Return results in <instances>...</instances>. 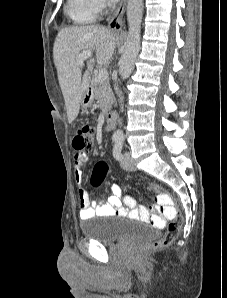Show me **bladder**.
Masks as SVG:
<instances>
[{
    "label": "bladder",
    "instance_id": "bladder-1",
    "mask_svg": "<svg viewBox=\"0 0 227 298\" xmlns=\"http://www.w3.org/2000/svg\"><path fill=\"white\" fill-rule=\"evenodd\" d=\"M82 234L102 244H114L119 241L147 238L153 234V228L134 219L116 218L114 220H89L81 223Z\"/></svg>",
    "mask_w": 227,
    "mask_h": 298
}]
</instances>
